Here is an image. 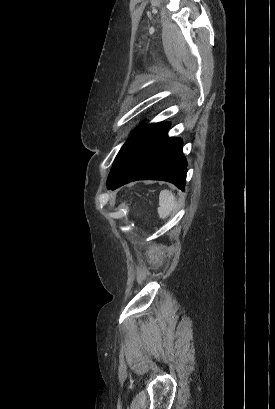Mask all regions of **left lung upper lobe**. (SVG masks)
<instances>
[{
  "instance_id": "5c2ea615",
  "label": "left lung upper lobe",
  "mask_w": 275,
  "mask_h": 409,
  "mask_svg": "<svg viewBox=\"0 0 275 409\" xmlns=\"http://www.w3.org/2000/svg\"><path fill=\"white\" fill-rule=\"evenodd\" d=\"M154 124H149L147 126H141L139 127L138 130H136L126 141V143L123 145L121 150L116 156V159L114 161L113 167L111 169V172L109 174V178L107 181V185H111L114 180L117 178V176L120 174V172L123 169L124 163L127 159V156L132 149V147L135 145V143L153 126Z\"/></svg>"
}]
</instances>
